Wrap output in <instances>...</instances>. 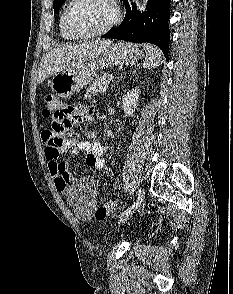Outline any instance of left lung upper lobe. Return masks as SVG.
<instances>
[{
  "mask_svg": "<svg viewBox=\"0 0 233 294\" xmlns=\"http://www.w3.org/2000/svg\"><path fill=\"white\" fill-rule=\"evenodd\" d=\"M64 2L65 0H54L53 2L54 13H56L60 9V7L63 5Z\"/></svg>",
  "mask_w": 233,
  "mask_h": 294,
  "instance_id": "5c2ea615",
  "label": "left lung upper lobe"
}]
</instances>
